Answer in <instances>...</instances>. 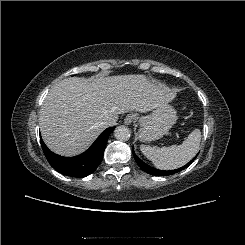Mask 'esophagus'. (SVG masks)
<instances>
[{
  "label": "esophagus",
  "instance_id": "34e87169",
  "mask_svg": "<svg viewBox=\"0 0 245 245\" xmlns=\"http://www.w3.org/2000/svg\"><path fill=\"white\" fill-rule=\"evenodd\" d=\"M136 119V115L133 113L128 114L125 118H124V124L129 125L132 122H134V120Z\"/></svg>",
  "mask_w": 245,
  "mask_h": 245
}]
</instances>
